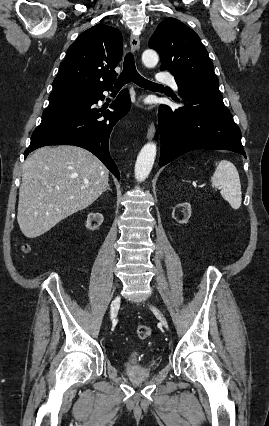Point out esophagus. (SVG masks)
I'll return each mask as SVG.
<instances>
[{
    "mask_svg": "<svg viewBox=\"0 0 269 426\" xmlns=\"http://www.w3.org/2000/svg\"><path fill=\"white\" fill-rule=\"evenodd\" d=\"M139 46H140L139 38L135 34H131V36H130V47H131L132 51L133 52L138 51ZM154 135H155V126H154L153 123H151L148 127V130H147V138L150 140L154 137Z\"/></svg>",
    "mask_w": 269,
    "mask_h": 426,
    "instance_id": "obj_1",
    "label": "esophagus"
}]
</instances>
